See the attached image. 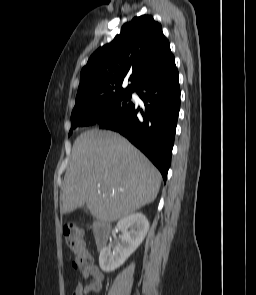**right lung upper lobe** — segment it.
I'll return each instance as SVG.
<instances>
[{
	"label": "right lung upper lobe",
	"instance_id": "cb5924a9",
	"mask_svg": "<svg viewBox=\"0 0 256 295\" xmlns=\"http://www.w3.org/2000/svg\"><path fill=\"white\" fill-rule=\"evenodd\" d=\"M172 56L161 25L150 15L135 17L112 42L91 55L80 74L76 101L133 92ZM126 76L131 84L123 89Z\"/></svg>",
	"mask_w": 256,
	"mask_h": 295
}]
</instances>
